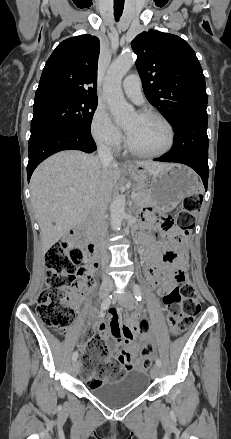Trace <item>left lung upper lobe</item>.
<instances>
[{
	"instance_id": "obj_1",
	"label": "left lung upper lobe",
	"mask_w": 231,
	"mask_h": 439,
	"mask_svg": "<svg viewBox=\"0 0 231 439\" xmlns=\"http://www.w3.org/2000/svg\"><path fill=\"white\" fill-rule=\"evenodd\" d=\"M131 47L146 98L173 128L189 114L207 113L205 77L185 40L150 30L137 35Z\"/></svg>"
}]
</instances>
